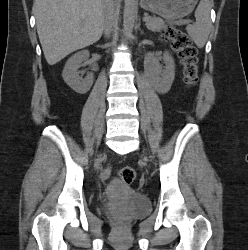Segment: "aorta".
I'll return each instance as SVG.
<instances>
[{
    "instance_id": "obj_1",
    "label": "aorta",
    "mask_w": 248,
    "mask_h": 250,
    "mask_svg": "<svg viewBox=\"0 0 248 250\" xmlns=\"http://www.w3.org/2000/svg\"><path fill=\"white\" fill-rule=\"evenodd\" d=\"M135 0H125L124 13H123V33L125 38H130L132 35L134 22H135Z\"/></svg>"
}]
</instances>
